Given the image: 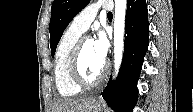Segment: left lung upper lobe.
<instances>
[{"mask_svg":"<svg viewBox=\"0 0 193 112\" xmlns=\"http://www.w3.org/2000/svg\"><path fill=\"white\" fill-rule=\"evenodd\" d=\"M90 0H55L51 7L49 25L51 55L54 56L57 44L70 21L89 3Z\"/></svg>","mask_w":193,"mask_h":112,"instance_id":"5c2ea615","label":"left lung upper lobe"}]
</instances>
